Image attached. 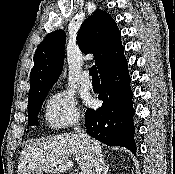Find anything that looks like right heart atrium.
Listing matches in <instances>:
<instances>
[{
    "mask_svg": "<svg viewBox=\"0 0 175 174\" xmlns=\"http://www.w3.org/2000/svg\"><path fill=\"white\" fill-rule=\"evenodd\" d=\"M44 115L52 129H62L76 124L80 118L75 100L66 91H58L46 100Z\"/></svg>",
    "mask_w": 175,
    "mask_h": 174,
    "instance_id": "1",
    "label": "right heart atrium"
}]
</instances>
